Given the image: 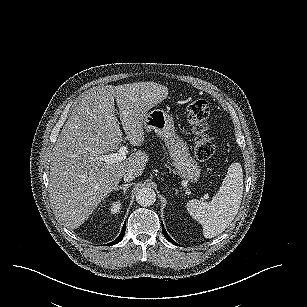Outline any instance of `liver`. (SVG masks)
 Instances as JSON below:
<instances>
[{"mask_svg":"<svg viewBox=\"0 0 307 307\" xmlns=\"http://www.w3.org/2000/svg\"><path fill=\"white\" fill-rule=\"evenodd\" d=\"M167 94L165 86L150 81L92 87L82 94L54 145L50 163L51 205L66 227L81 225L126 171L131 170L136 177L142 174L148 161L144 151L112 164L102 158L123 140L141 145L144 113Z\"/></svg>","mask_w":307,"mask_h":307,"instance_id":"obj_1","label":"liver"}]
</instances>
